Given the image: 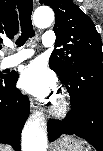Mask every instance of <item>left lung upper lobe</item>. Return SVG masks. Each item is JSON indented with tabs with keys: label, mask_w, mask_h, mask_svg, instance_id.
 Masks as SVG:
<instances>
[{
	"label": "left lung upper lobe",
	"mask_w": 103,
	"mask_h": 151,
	"mask_svg": "<svg viewBox=\"0 0 103 151\" xmlns=\"http://www.w3.org/2000/svg\"><path fill=\"white\" fill-rule=\"evenodd\" d=\"M55 12L57 47L49 60L59 78H68L76 69L85 68L90 58H102V42L92 20L72 0H40ZM84 79L90 78L87 69Z\"/></svg>",
	"instance_id": "obj_1"
}]
</instances>
